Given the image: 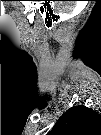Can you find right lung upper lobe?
I'll use <instances>...</instances> for the list:
<instances>
[{"label":"right lung upper lobe","mask_w":101,"mask_h":135,"mask_svg":"<svg viewBox=\"0 0 101 135\" xmlns=\"http://www.w3.org/2000/svg\"><path fill=\"white\" fill-rule=\"evenodd\" d=\"M92 113L90 109L83 106L72 107L58 119L56 125L66 129L67 133L73 132V130L76 133L87 130L92 134L94 132L93 127H91L93 124H90L93 117ZM86 124L89 128L83 127Z\"/></svg>","instance_id":"cb5924a9"}]
</instances>
